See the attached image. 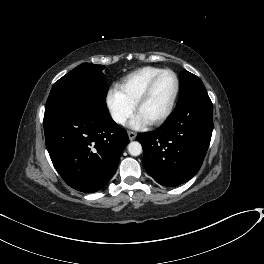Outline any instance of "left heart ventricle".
Listing matches in <instances>:
<instances>
[{
    "label": "left heart ventricle",
    "instance_id": "left-heart-ventricle-1",
    "mask_svg": "<svg viewBox=\"0 0 264 264\" xmlns=\"http://www.w3.org/2000/svg\"><path fill=\"white\" fill-rule=\"evenodd\" d=\"M175 88V79L163 74L155 84L150 97L141 105L138 113L148 122L159 117L167 108Z\"/></svg>",
    "mask_w": 264,
    "mask_h": 264
}]
</instances>
